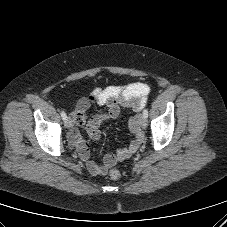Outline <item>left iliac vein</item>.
<instances>
[{"instance_id": "4c4485c4", "label": "left iliac vein", "mask_w": 227, "mask_h": 227, "mask_svg": "<svg viewBox=\"0 0 227 227\" xmlns=\"http://www.w3.org/2000/svg\"><path fill=\"white\" fill-rule=\"evenodd\" d=\"M139 125L142 127V128H146L147 127V119L141 115L139 117Z\"/></svg>"}]
</instances>
